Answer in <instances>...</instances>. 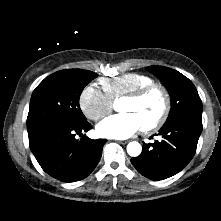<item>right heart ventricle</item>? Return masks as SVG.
Returning <instances> with one entry per match:
<instances>
[{"label": "right heart ventricle", "mask_w": 221, "mask_h": 221, "mask_svg": "<svg viewBox=\"0 0 221 221\" xmlns=\"http://www.w3.org/2000/svg\"><path fill=\"white\" fill-rule=\"evenodd\" d=\"M154 83L152 77L137 72L125 73L117 77L102 78L100 85L104 93L116 101L125 95Z\"/></svg>", "instance_id": "1"}]
</instances>
